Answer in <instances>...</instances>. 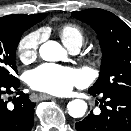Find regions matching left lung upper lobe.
I'll use <instances>...</instances> for the list:
<instances>
[{"label":"left lung upper lobe","instance_id":"5c2ea615","mask_svg":"<svg viewBox=\"0 0 131 131\" xmlns=\"http://www.w3.org/2000/svg\"><path fill=\"white\" fill-rule=\"evenodd\" d=\"M72 16L95 30L102 48L100 75L90 90L131 95V28L99 8L73 12Z\"/></svg>","mask_w":131,"mask_h":131}]
</instances>
